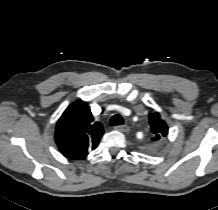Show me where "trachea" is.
I'll list each match as a JSON object with an SVG mask.
<instances>
[{"label": "trachea", "mask_w": 218, "mask_h": 210, "mask_svg": "<svg viewBox=\"0 0 218 210\" xmlns=\"http://www.w3.org/2000/svg\"><path fill=\"white\" fill-rule=\"evenodd\" d=\"M123 124H124V120L119 114L113 115L110 119L111 126H118V125H123Z\"/></svg>", "instance_id": "obj_1"}]
</instances>
